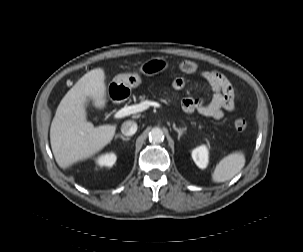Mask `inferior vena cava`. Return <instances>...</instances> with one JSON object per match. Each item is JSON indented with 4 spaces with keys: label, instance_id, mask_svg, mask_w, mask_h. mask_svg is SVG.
Returning <instances> with one entry per match:
<instances>
[{
    "label": "inferior vena cava",
    "instance_id": "602c4592",
    "mask_svg": "<svg viewBox=\"0 0 303 252\" xmlns=\"http://www.w3.org/2000/svg\"><path fill=\"white\" fill-rule=\"evenodd\" d=\"M137 131V124L134 121H125L121 126V132L125 136H132Z\"/></svg>",
    "mask_w": 303,
    "mask_h": 252
}]
</instances>
